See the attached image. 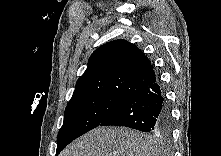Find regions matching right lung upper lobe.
<instances>
[{"instance_id":"obj_1","label":"right lung upper lobe","mask_w":221,"mask_h":156,"mask_svg":"<svg viewBox=\"0 0 221 156\" xmlns=\"http://www.w3.org/2000/svg\"><path fill=\"white\" fill-rule=\"evenodd\" d=\"M154 82L155 73L145 54L128 41L114 40L91 54L71 100L92 95L129 98Z\"/></svg>"}]
</instances>
